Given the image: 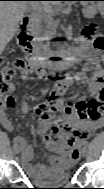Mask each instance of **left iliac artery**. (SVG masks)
I'll return each instance as SVG.
<instances>
[{"label":"left iliac artery","mask_w":104,"mask_h":189,"mask_svg":"<svg viewBox=\"0 0 104 189\" xmlns=\"http://www.w3.org/2000/svg\"><path fill=\"white\" fill-rule=\"evenodd\" d=\"M89 146L88 142H84V149H86Z\"/></svg>","instance_id":"44dca946"}]
</instances>
